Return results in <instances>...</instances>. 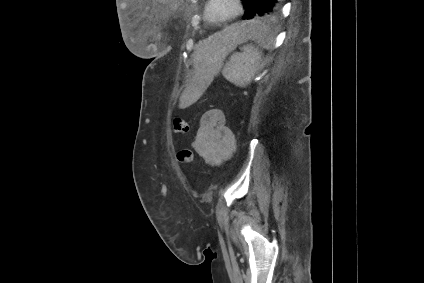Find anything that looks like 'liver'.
<instances>
[{"instance_id": "6515ba94", "label": "liver", "mask_w": 424, "mask_h": 283, "mask_svg": "<svg viewBox=\"0 0 424 283\" xmlns=\"http://www.w3.org/2000/svg\"><path fill=\"white\" fill-rule=\"evenodd\" d=\"M248 31L249 29L244 28L243 25L235 24L199 42L193 54V67L196 70L194 81L183 91L179 108L184 109L190 106L200 97L201 89L207 81L212 79L222 58L236 47Z\"/></svg>"}]
</instances>
